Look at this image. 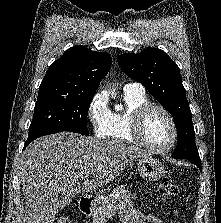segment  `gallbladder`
I'll use <instances>...</instances> for the list:
<instances>
[{"label":"gallbladder","mask_w":221,"mask_h":223,"mask_svg":"<svg viewBox=\"0 0 221 223\" xmlns=\"http://www.w3.org/2000/svg\"><path fill=\"white\" fill-rule=\"evenodd\" d=\"M61 200L63 202V206L64 207L71 202V198L70 197H67V196L62 197Z\"/></svg>","instance_id":"obj_1"}]
</instances>
